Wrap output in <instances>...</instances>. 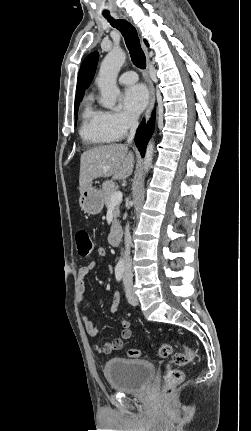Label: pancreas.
Listing matches in <instances>:
<instances>
[{
	"label": "pancreas",
	"instance_id": "pancreas-1",
	"mask_svg": "<svg viewBox=\"0 0 251 431\" xmlns=\"http://www.w3.org/2000/svg\"><path fill=\"white\" fill-rule=\"evenodd\" d=\"M118 190V187L115 185V182L113 180L105 181L102 185V191H103V198L104 202L107 208L110 207V198L111 195ZM120 216V209L119 205H116L113 209V222L111 230H115L119 227V223L117 221V218Z\"/></svg>",
	"mask_w": 251,
	"mask_h": 431
}]
</instances>
